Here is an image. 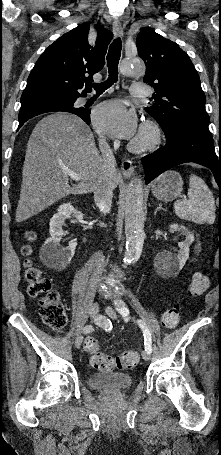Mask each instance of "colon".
I'll return each mask as SVG.
<instances>
[{
	"label": "colon",
	"instance_id": "colon-1",
	"mask_svg": "<svg viewBox=\"0 0 221 455\" xmlns=\"http://www.w3.org/2000/svg\"><path fill=\"white\" fill-rule=\"evenodd\" d=\"M28 243L22 248L25 256L24 279L28 284V293L31 296L39 297V314L42 321L51 329L59 332L67 324V316L59 295L51 289V284L33 260L32 242L36 239L34 232L26 234ZM209 286V278L205 273H197L193 276L189 286L188 294L192 297L201 296ZM180 319V305L173 304L161 317L162 325L167 329L177 327ZM84 350L90 356L91 365L104 372H111L115 369L124 370L135 367L139 362V354L136 351H124L112 357L100 351L97 339L88 337L84 343Z\"/></svg>",
	"mask_w": 221,
	"mask_h": 455
}]
</instances>
